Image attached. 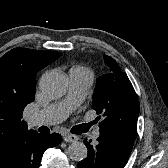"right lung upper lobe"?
<instances>
[{
  "label": "right lung upper lobe",
  "instance_id": "obj_1",
  "mask_svg": "<svg viewBox=\"0 0 168 168\" xmlns=\"http://www.w3.org/2000/svg\"><path fill=\"white\" fill-rule=\"evenodd\" d=\"M54 51L14 48L0 58V157L28 130L22 120L25 106L34 100L36 74L60 57Z\"/></svg>",
  "mask_w": 168,
  "mask_h": 168
}]
</instances>
